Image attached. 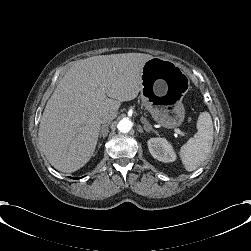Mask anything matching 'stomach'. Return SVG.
Wrapping results in <instances>:
<instances>
[{
  "label": "stomach",
  "mask_w": 251,
  "mask_h": 251,
  "mask_svg": "<svg viewBox=\"0 0 251 251\" xmlns=\"http://www.w3.org/2000/svg\"><path fill=\"white\" fill-rule=\"evenodd\" d=\"M140 97L155 121L174 128L184 120L182 99L189 90V78L172 61L153 57L142 69Z\"/></svg>",
  "instance_id": "stomach-1"
}]
</instances>
